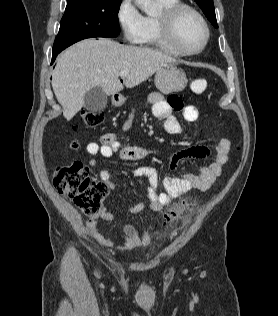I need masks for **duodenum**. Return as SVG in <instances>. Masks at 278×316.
Here are the masks:
<instances>
[{
	"label": "duodenum",
	"instance_id": "1",
	"mask_svg": "<svg viewBox=\"0 0 278 316\" xmlns=\"http://www.w3.org/2000/svg\"><path fill=\"white\" fill-rule=\"evenodd\" d=\"M114 100H115V101H118V100H119V98H118L117 96H115V97H114Z\"/></svg>",
	"mask_w": 278,
	"mask_h": 316
}]
</instances>
